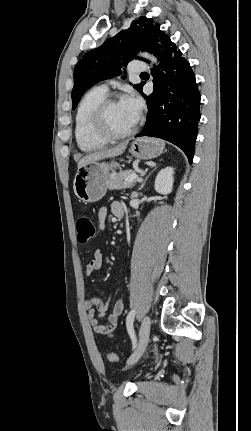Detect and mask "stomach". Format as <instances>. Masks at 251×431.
<instances>
[{"label": "stomach", "mask_w": 251, "mask_h": 431, "mask_svg": "<svg viewBox=\"0 0 251 431\" xmlns=\"http://www.w3.org/2000/svg\"><path fill=\"white\" fill-rule=\"evenodd\" d=\"M164 149L160 140L150 138L135 139L130 146V153L137 159H153L159 156ZM119 167L116 162H89L78 168L74 178L73 188L75 195L84 203L99 201L107 191V181L110 171Z\"/></svg>", "instance_id": "1"}]
</instances>
